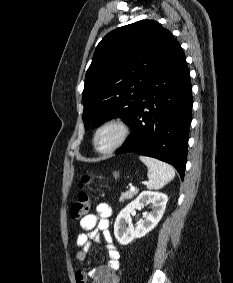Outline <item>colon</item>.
I'll return each instance as SVG.
<instances>
[{"instance_id":"1","label":"colon","mask_w":233,"mask_h":283,"mask_svg":"<svg viewBox=\"0 0 233 283\" xmlns=\"http://www.w3.org/2000/svg\"><path fill=\"white\" fill-rule=\"evenodd\" d=\"M93 182L94 179L91 176L85 175L81 178L78 184L79 191L77 194V200L70 208V217L73 220H82L88 215L91 206V200L86 188L93 184Z\"/></svg>"}]
</instances>
